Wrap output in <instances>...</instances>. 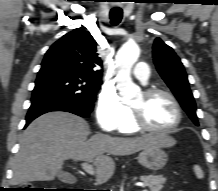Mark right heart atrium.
<instances>
[{"label": "right heart atrium", "mask_w": 218, "mask_h": 191, "mask_svg": "<svg viewBox=\"0 0 218 191\" xmlns=\"http://www.w3.org/2000/svg\"><path fill=\"white\" fill-rule=\"evenodd\" d=\"M130 116V109L113 89H103L97 99L95 117L98 126L106 132L119 130Z\"/></svg>", "instance_id": "obj_1"}]
</instances>
